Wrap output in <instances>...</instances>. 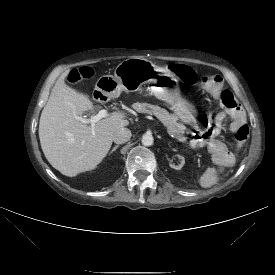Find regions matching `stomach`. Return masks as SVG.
<instances>
[{"mask_svg":"<svg viewBox=\"0 0 275 275\" xmlns=\"http://www.w3.org/2000/svg\"><path fill=\"white\" fill-rule=\"evenodd\" d=\"M153 83L149 90L153 96L163 101L173 116L187 124H195V108L180 93L178 78L174 72L156 66L142 58H129L122 61L114 75L100 77L95 85L107 97H116L122 91L133 92L144 84Z\"/></svg>","mask_w":275,"mask_h":275,"instance_id":"obj_1","label":"stomach"}]
</instances>
